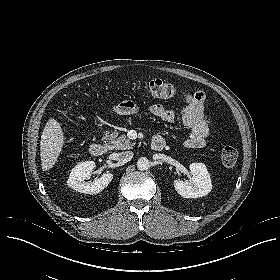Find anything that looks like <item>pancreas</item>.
<instances>
[{"instance_id": "obj_1", "label": "pancreas", "mask_w": 280, "mask_h": 280, "mask_svg": "<svg viewBox=\"0 0 280 280\" xmlns=\"http://www.w3.org/2000/svg\"><path fill=\"white\" fill-rule=\"evenodd\" d=\"M104 135V139L109 141L110 149H132L136 145V143L132 142L124 134L118 136V132L106 131Z\"/></svg>"}]
</instances>
